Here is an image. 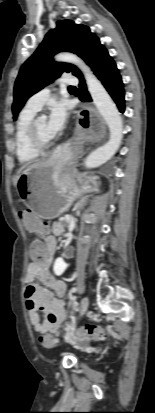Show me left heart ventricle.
I'll return each mask as SVG.
<instances>
[{"label":"left heart ventricle","instance_id":"b2bd125f","mask_svg":"<svg viewBox=\"0 0 155 413\" xmlns=\"http://www.w3.org/2000/svg\"><path fill=\"white\" fill-rule=\"evenodd\" d=\"M37 132L39 137L44 141L50 140L52 138L47 131V122L44 119H38Z\"/></svg>","mask_w":155,"mask_h":413}]
</instances>
